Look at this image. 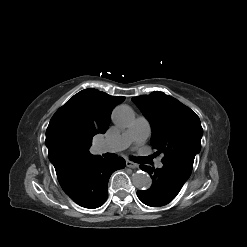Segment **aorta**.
I'll use <instances>...</instances> for the list:
<instances>
[{"label":"aorta","mask_w":247,"mask_h":247,"mask_svg":"<svg viewBox=\"0 0 247 247\" xmlns=\"http://www.w3.org/2000/svg\"><path fill=\"white\" fill-rule=\"evenodd\" d=\"M112 120L114 124L117 125L118 127L127 128L134 121V112L127 105L117 106L113 110ZM132 183L137 189L146 190L150 188L152 184V180L147 173L143 171H138L135 174H133Z\"/></svg>","instance_id":"1"}]
</instances>
